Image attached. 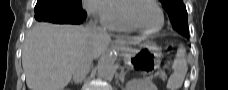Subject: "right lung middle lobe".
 I'll use <instances>...</instances> for the list:
<instances>
[{
  "mask_svg": "<svg viewBox=\"0 0 228 90\" xmlns=\"http://www.w3.org/2000/svg\"><path fill=\"white\" fill-rule=\"evenodd\" d=\"M42 1L43 0H38L36 5L39 6ZM56 2L58 6L64 7L69 13L82 9L81 0H56Z\"/></svg>",
  "mask_w": 228,
  "mask_h": 90,
  "instance_id": "right-lung-middle-lobe-1",
  "label": "right lung middle lobe"
}]
</instances>
